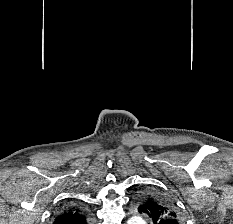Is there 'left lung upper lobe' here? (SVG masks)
Instances as JSON below:
<instances>
[{
  "mask_svg": "<svg viewBox=\"0 0 233 224\" xmlns=\"http://www.w3.org/2000/svg\"><path fill=\"white\" fill-rule=\"evenodd\" d=\"M137 210L147 214L154 224H183L175 203L161 193L149 190L137 197Z\"/></svg>",
  "mask_w": 233,
  "mask_h": 224,
  "instance_id": "1",
  "label": "left lung upper lobe"
}]
</instances>
